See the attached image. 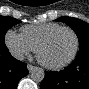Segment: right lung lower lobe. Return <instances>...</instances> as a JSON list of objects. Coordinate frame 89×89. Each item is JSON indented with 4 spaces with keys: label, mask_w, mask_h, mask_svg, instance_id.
<instances>
[{
    "label": "right lung lower lobe",
    "mask_w": 89,
    "mask_h": 89,
    "mask_svg": "<svg viewBox=\"0 0 89 89\" xmlns=\"http://www.w3.org/2000/svg\"><path fill=\"white\" fill-rule=\"evenodd\" d=\"M27 74V64L13 58L6 46L0 47V89H16Z\"/></svg>",
    "instance_id": "98d812e1"
}]
</instances>
